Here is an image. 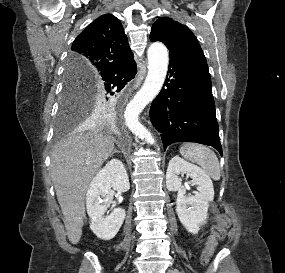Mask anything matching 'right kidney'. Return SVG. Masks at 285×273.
<instances>
[{"instance_id":"obj_1","label":"right kidney","mask_w":285,"mask_h":273,"mask_svg":"<svg viewBox=\"0 0 285 273\" xmlns=\"http://www.w3.org/2000/svg\"><path fill=\"white\" fill-rule=\"evenodd\" d=\"M111 188L118 192H126L130 188L127 172L118 159L110 160L96 174L86 194L87 213L91 219L90 229L102 240L115 237L126 215L121 208H114L109 215H105L107 205L101 198L106 197Z\"/></svg>"}]
</instances>
